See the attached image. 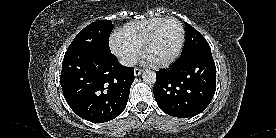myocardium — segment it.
<instances>
[{
	"label": "myocardium",
	"mask_w": 276,
	"mask_h": 138,
	"mask_svg": "<svg viewBox=\"0 0 276 138\" xmlns=\"http://www.w3.org/2000/svg\"><path fill=\"white\" fill-rule=\"evenodd\" d=\"M168 21H174L176 22L179 27H180V30H181V37H180V41H179V44L177 46V49L175 50V52L173 53V55L164 60V61H160V62H151L147 59V52L148 50L150 49V47L152 46L155 38H156V35L159 31V29L161 28V26L168 22ZM185 37H186V33H185V28L183 26V24L181 23L180 20H178L177 18L175 17H166L164 18L162 21H160L154 28L153 30L151 31V33L149 34L143 48H142V55L145 59H147L149 61V63L154 66V67H157V68H160V67H167L169 65H171L180 55L182 49H183V46H184V43H185Z\"/></svg>",
	"instance_id": "myocardium-1"
}]
</instances>
